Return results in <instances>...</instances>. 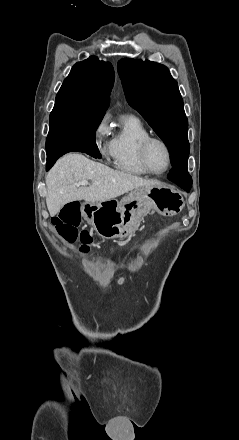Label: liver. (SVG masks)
I'll use <instances>...</instances> for the list:
<instances>
[{"label":"liver","mask_w":239,"mask_h":440,"mask_svg":"<svg viewBox=\"0 0 239 440\" xmlns=\"http://www.w3.org/2000/svg\"><path fill=\"white\" fill-rule=\"evenodd\" d=\"M81 180H91L92 184L77 188L75 184ZM46 186L48 212L50 216H56L68 202H106L136 188H156L161 182L117 172L81 154H66L48 172Z\"/></svg>","instance_id":"obj_1"}]
</instances>
